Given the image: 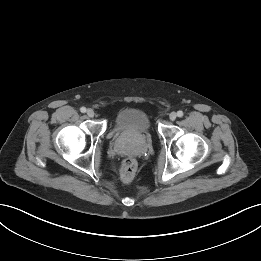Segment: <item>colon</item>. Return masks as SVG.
Wrapping results in <instances>:
<instances>
[{"instance_id":"5ec220e1","label":"colon","mask_w":261,"mask_h":261,"mask_svg":"<svg viewBox=\"0 0 261 261\" xmlns=\"http://www.w3.org/2000/svg\"><path fill=\"white\" fill-rule=\"evenodd\" d=\"M137 170V162L133 158L125 159L120 168V177L124 182L131 181Z\"/></svg>"}]
</instances>
